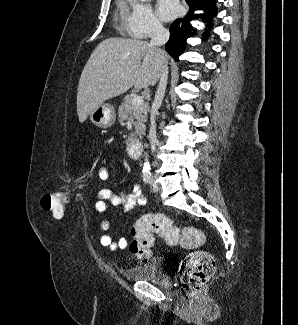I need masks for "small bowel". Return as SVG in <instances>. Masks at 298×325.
I'll return each instance as SVG.
<instances>
[{
	"label": "small bowel",
	"instance_id": "c3829d8e",
	"mask_svg": "<svg viewBox=\"0 0 298 325\" xmlns=\"http://www.w3.org/2000/svg\"><path fill=\"white\" fill-rule=\"evenodd\" d=\"M120 155V153H118ZM109 161L107 155H103L101 158V167L98 171V177L100 180H107L109 178V171L106 167ZM107 201L112 205L122 206L126 212L132 211L137 206H143L145 204V198L141 192L140 186L135 183H129L120 190L118 194L113 193L110 189H101L97 196L95 203V209L98 213H107ZM110 223L108 220H103L100 224V229L103 234L100 237V244L103 247L111 250L125 249L128 246L126 238L121 237L115 241L108 233Z\"/></svg>",
	"mask_w": 298,
	"mask_h": 325
}]
</instances>
